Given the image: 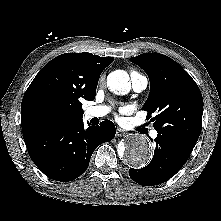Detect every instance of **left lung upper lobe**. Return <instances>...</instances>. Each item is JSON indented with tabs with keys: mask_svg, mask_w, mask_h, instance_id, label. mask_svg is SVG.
I'll return each instance as SVG.
<instances>
[{
	"mask_svg": "<svg viewBox=\"0 0 221 221\" xmlns=\"http://www.w3.org/2000/svg\"><path fill=\"white\" fill-rule=\"evenodd\" d=\"M149 76L150 93L142 110L148 111L158 134L196 144L201 133L203 98L192 77L174 60L145 53L130 58Z\"/></svg>",
	"mask_w": 221,
	"mask_h": 221,
	"instance_id": "obj_1",
	"label": "left lung upper lobe"
}]
</instances>
